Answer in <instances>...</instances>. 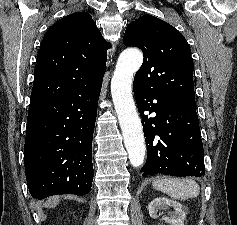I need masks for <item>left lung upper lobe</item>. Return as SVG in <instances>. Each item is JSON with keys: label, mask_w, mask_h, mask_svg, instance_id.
<instances>
[{"label": "left lung upper lobe", "mask_w": 237, "mask_h": 225, "mask_svg": "<svg viewBox=\"0 0 237 225\" xmlns=\"http://www.w3.org/2000/svg\"><path fill=\"white\" fill-rule=\"evenodd\" d=\"M124 44L144 53L133 86L168 99L195 100L191 50L173 26L152 15L139 17L127 26Z\"/></svg>", "instance_id": "5c2ea615"}]
</instances>
